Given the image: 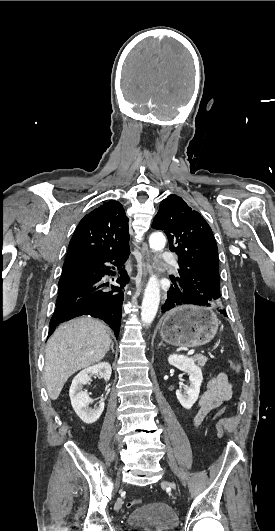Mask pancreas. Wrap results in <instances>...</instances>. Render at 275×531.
I'll use <instances>...</instances> for the list:
<instances>
[{
    "label": "pancreas",
    "mask_w": 275,
    "mask_h": 531,
    "mask_svg": "<svg viewBox=\"0 0 275 531\" xmlns=\"http://www.w3.org/2000/svg\"><path fill=\"white\" fill-rule=\"evenodd\" d=\"M193 361H196V363H198L200 367H204L207 361V357H204V355H194Z\"/></svg>",
    "instance_id": "pancreas-1"
}]
</instances>
